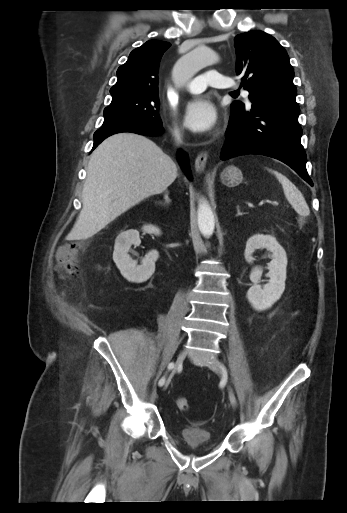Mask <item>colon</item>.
Wrapping results in <instances>:
<instances>
[{
	"label": "colon",
	"instance_id": "5ec220e1",
	"mask_svg": "<svg viewBox=\"0 0 347 513\" xmlns=\"http://www.w3.org/2000/svg\"><path fill=\"white\" fill-rule=\"evenodd\" d=\"M77 253L78 250L75 244L62 246L58 252L57 267L67 275H75L78 271ZM175 403L181 412H188L190 409L189 401L183 396L176 397Z\"/></svg>",
	"mask_w": 347,
	"mask_h": 513
}]
</instances>
